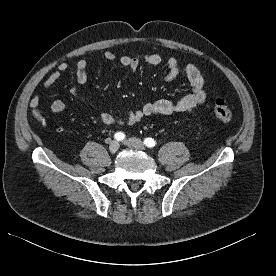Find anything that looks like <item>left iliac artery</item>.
I'll return each instance as SVG.
<instances>
[{"instance_id": "obj_1", "label": "left iliac artery", "mask_w": 276, "mask_h": 276, "mask_svg": "<svg viewBox=\"0 0 276 276\" xmlns=\"http://www.w3.org/2000/svg\"><path fill=\"white\" fill-rule=\"evenodd\" d=\"M144 144L148 147V148H152L156 145V141L152 138H145L144 139Z\"/></svg>"}]
</instances>
